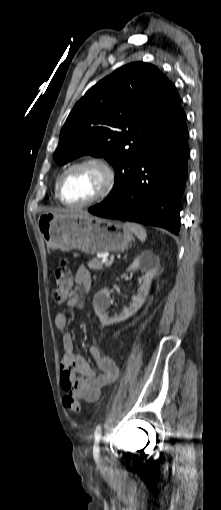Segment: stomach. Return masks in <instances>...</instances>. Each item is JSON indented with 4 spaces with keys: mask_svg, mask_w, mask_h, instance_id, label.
Here are the masks:
<instances>
[{
    "mask_svg": "<svg viewBox=\"0 0 221 510\" xmlns=\"http://www.w3.org/2000/svg\"><path fill=\"white\" fill-rule=\"evenodd\" d=\"M38 229L51 249H77L86 254L119 252L132 240L123 223L86 213L45 212L38 218Z\"/></svg>",
    "mask_w": 221,
    "mask_h": 510,
    "instance_id": "0dacf381",
    "label": "stomach"
}]
</instances>
